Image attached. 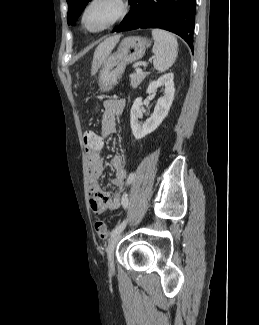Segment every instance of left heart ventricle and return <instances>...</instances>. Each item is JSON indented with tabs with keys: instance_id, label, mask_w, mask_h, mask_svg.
Wrapping results in <instances>:
<instances>
[{
	"instance_id": "b2bd125f",
	"label": "left heart ventricle",
	"mask_w": 259,
	"mask_h": 325,
	"mask_svg": "<svg viewBox=\"0 0 259 325\" xmlns=\"http://www.w3.org/2000/svg\"><path fill=\"white\" fill-rule=\"evenodd\" d=\"M119 13V5L115 0H99L94 3L86 14V24L90 28L101 27Z\"/></svg>"
}]
</instances>
